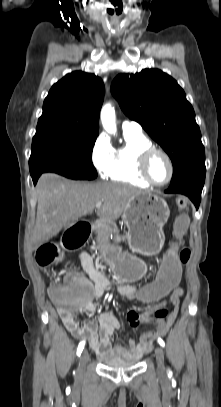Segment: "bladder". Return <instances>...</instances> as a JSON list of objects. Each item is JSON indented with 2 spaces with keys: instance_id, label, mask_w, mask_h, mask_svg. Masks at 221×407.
<instances>
[{
  "instance_id": "obj_1",
  "label": "bladder",
  "mask_w": 221,
  "mask_h": 407,
  "mask_svg": "<svg viewBox=\"0 0 221 407\" xmlns=\"http://www.w3.org/2000/svg\"><path fill=\"white\" fill-rule=\"evenodd\" d=\"M98 358L102 364H104L108 367H113V368H129V367H134L139 363L138 359L123 360V359L107 358L104 356H99Z\"/></svg>"
}]
</instances>
